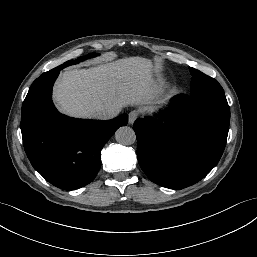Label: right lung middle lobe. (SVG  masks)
<instances>
[{
	"label": "right lung middle lobe",
	"instance_id": "dd1d6c3e",
	"mask_svg": "<svg viewBox=\"0 0 257 257\" xmlns=\"http://www.w3.org/2000/svg\"><path fill=\"white\" fill-rule=\"evenodd\" d=\"M97 55H99V54H97V53H90V54H88V55H86V56L79 57V58L76 59V60L67 61V62H65L64 64L60 65V66H62V67L65 68V67H67V66H69V65L77 64V63H79V62L85 60L86 58L95 57V56H97Z\"/></svg>",
	"mask_w": 257,
	"mask_h": 257
}]
</instances>
